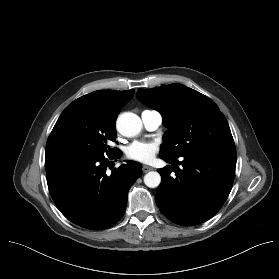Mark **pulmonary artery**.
Listing matches in <instances>:
<instances>
[{
  "mask_svg": "<svg viewBox=\"0 0 279 279\" xmlns=\"http://www.w3.org/2000/svg\"><path fill=\"white\" fill-rule=\"evenodd\" d=\"M142 122L146 129L154 131L162 124V115L155 110H146L141 114Z\"/></svg>",
  "mask_w": 279,
  "mask_h": 279,
  "instance_id": "pulmonary-artery-1",
  "label": "pulmonary artery"
}]
</instances>
